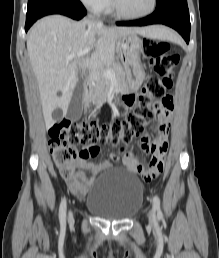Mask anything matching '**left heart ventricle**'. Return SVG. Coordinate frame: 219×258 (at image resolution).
I'll list each match as a JSON object with an SVG mask.
<instances>
[{
    "instance_id": "1",
    "label": "left heart ventricle",
    "mask_w": 219,
    "mask_h": 258,
    "mask_svg": "<svg viewBox=\"0 0 219 258\" xmlns=\"http://www.w3.org/2000/svg\"><path fill=\"white\" fill-rule=\"evenodd\" d=\"M122 10L128 14H140L150 9L152 0H118Z\"/></svg>"
}]
</instances>
